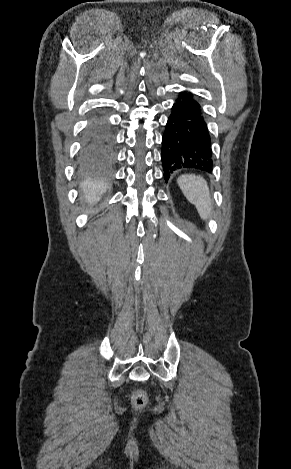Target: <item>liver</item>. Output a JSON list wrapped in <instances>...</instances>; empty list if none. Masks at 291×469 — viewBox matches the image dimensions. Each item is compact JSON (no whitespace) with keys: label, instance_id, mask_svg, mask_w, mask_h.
<instances>
[{"label":"liver","instance_id":"6515ba94","mask_svg":"<svg viewBox=\"0 0 291 469\" xmlns=\"http://www.w3.org/2000/svg\"><path fill=\"white\" fill-rule=\"evenodd\" d=\"M80 187L85 201L90 205L96 204L106 191V185L99 182L85 181L81 183Z\"/></svg>","mask_w":291,"mask_h":469}]
</instances>
